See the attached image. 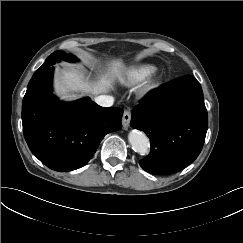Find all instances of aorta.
Returning a JSON list of instances; mask_svg holds the SVG:
<instances>
[{"label":"aorta","instance_id":"1","mask_svg":"<svg viewBox=\"0 0 243 243\" xmlns=\"http://www.w3.org/2000/svg\"><path fill=\"white\" fill-rule=\"evenodd\" d=\"M128 140L135 152L141 155H144L148 152L150 143L148 137L143 132L132 130L129 133Z\"/></svg>","mask_w":243,"mask_h":243}]
</instances>
